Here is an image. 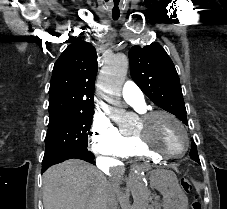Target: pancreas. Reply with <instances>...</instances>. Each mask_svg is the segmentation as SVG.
<instances>
[{
    "label": "pancreas",
    "mask_w": 227,
    "mask_h": 209,
    "mask_svg": "<svg viewBox=\"0 0 227 209\" xmlns=\"http://www.w3.org/2000/svg\"><path fill=\"white\" fill-rule=\"evenodd\" d=\"M156 199H160V197H156ZM162 205L160 203H154L153 204V207L156 208V209H162L161 207Z\"/></svg>",
    "instance_id": "pancreas-1"
}]
</instances>
